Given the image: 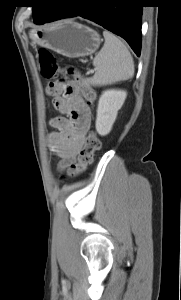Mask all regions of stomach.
Here are the masks:
<instances>
[{"label":"stomach","instance_id":"1","mask_svg":"<svg viewBox=\"0 0 181 300\" xmlns=\"http://www.w3.org/2000/svg\"><path fill=\"white\" fill-rule=\"evenodd\" d=\"M33 43L63 56L77 58L91 55L99 48L100 35L90 27L73 21H63L32 30Z\"/></svg>","mask_w":181,"mask_h":300}]
</instances>
